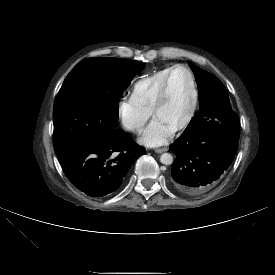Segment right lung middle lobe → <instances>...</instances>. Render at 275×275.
Listing matches in <instances>:
<instances>
[{
  "mask_svg": "<svg viewBox=\"0 0 275 275\" xmlns=\"http://www.w3.org/2000/svg\"><path fill=\"white\" fill-rule=\"evenodd\" d=\"M144 67L138 61L110 57L88 58L78 63L55 100V151L115 130L119 98Z\"/></svg>",
  "mask_w": 275,
  "mask_h": 275,
  "instance_id": "1",
  "label": "right lung middle lobe"
}]
</instances>
